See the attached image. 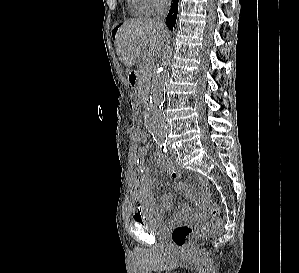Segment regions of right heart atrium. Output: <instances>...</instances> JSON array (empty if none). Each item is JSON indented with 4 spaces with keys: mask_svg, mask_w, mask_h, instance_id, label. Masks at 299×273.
I'll list each match as a JSON object with an SVG mask.
<instances>
[{
    "mask_svg": "<svg viewBox=\"0 0 299 273\" xmlns=\"http://www.w3.org/2000/svg\"><path fill=\"white\" fill-rule=\"evenodd\" d=\"M141 8L147 13L151 14L156 9L163 6L167 0H137Z\"/></svg>",
    "mask_w": 299,
    "mask_h": 273,
    "instance_id": "1",
    "label": "right heart atrium"
}]
</instances>
